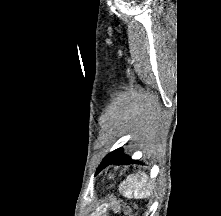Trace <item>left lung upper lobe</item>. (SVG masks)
Instances as JSON below:
<instances>
[{
	"instance_id": "left-lung-upper-lobe-1",
	"label": "left lung upper lobe",
	"mask_w": 221,
	"mask_h": 216,
	"mask_svg": "<svg viewBox=\"0 0 221 216\" xmlns=\"http://www.w3.org/2000/svg\"><path fill=\"white\" fill-rule=\"evenodd\" d=\"M123 149L122 148H119V149H117V150H115V151H113V152H111L110 154H116V153H119V152H121Z\"/></svg>"
}]
</instances>
